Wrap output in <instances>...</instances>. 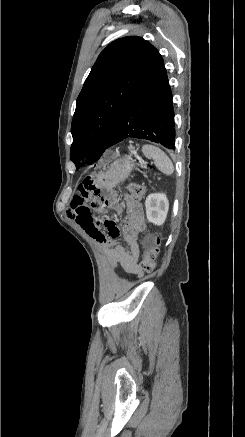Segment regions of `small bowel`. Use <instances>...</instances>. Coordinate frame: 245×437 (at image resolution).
<instances>
[{
	"mask_svg": "<svg viewBox=\"0 0 245 437\" xmlns=\"http://www.w3.org/2000/svg\"><path fill=\"white\" fill-rule=\"evenodd\" d=\"M102 160L99 165L105 168L108 163H111L115 153L113 150H104ZM99 173L101 170H95ZM91 176V177H90ZM86 177L78 186L79 195L73 197L69 208L68 216L72 218L82 230L91 238L100 243L112 264L116 269H121L127 273L140 276L142 274L139 267L140 248L138 244V236L145 229V218L143 207L140 203L126 200L125 203L116 201L110 191H100V197L92 198L90 203H86V198L91 192H95L96 185L93 183V173ZM113 205L118 214L125 216V223L122 228H119L114 220L108 219L105 221V227L108 235H105L100 230L99 221H95L90 214L92 208L101 206L102 200ZM123 240L128 248H125L120 240Z\"/></svg>",
	"mask_w": 245,
	"mask_h": 437,
	"instance_id": "1",
	"label": "small bowel"
}]
</instances>
